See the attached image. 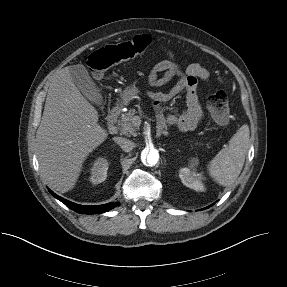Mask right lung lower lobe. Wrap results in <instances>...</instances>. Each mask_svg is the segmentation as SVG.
I'll use <instances>...</instances> for the list:
<instances>
[{
	"mask_svg": "<svg viewBox=\"0 0 287 287\" xmlns=\"http://www.w3.org/2000/svg\"><path fill=\"white\" fill-rule=\"evenodd\" d=\"M50 193L57 198L58 200H60L62 203H64L67 207H69L70 209L81 213V214H98V213H104L107 212L109 210H111L112 208L116 207L119 203H108V204H104V205H97V206H83V205H78L75 203H72L58 195H56L54 192H52L51 190H49Z\"/></svg>",
	"mask_w": 287,
	"mask_h": 287,
	"instance_id": "obj_1",
	"label": "right lung lower lobe"
}]
</instances>
